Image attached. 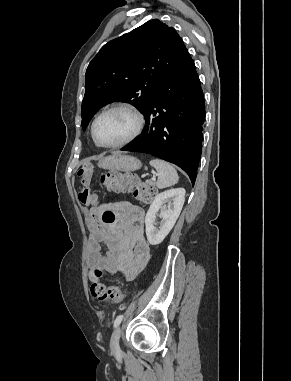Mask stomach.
I'll return each instance as SVG.
<instances>
[{
    "label": "stomach",
    "mask_w": 291,
    "mask_h": 381,
    "mask_svg": "<svg viewBox=\"0 0 291 381\" xmlns=\"http://www.w3.org/2000/svg\"><path fill=\"white\" fill-rule=\"evenodd\" d=\"M98 165L104 169L120 172H131L142 166L141 161L136 157L119 153L100 159Z\"/></svg>",
    "instance_id": "1"
}]
</instances>
